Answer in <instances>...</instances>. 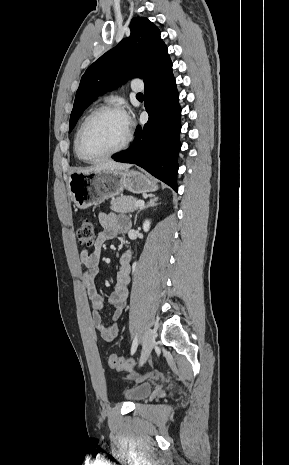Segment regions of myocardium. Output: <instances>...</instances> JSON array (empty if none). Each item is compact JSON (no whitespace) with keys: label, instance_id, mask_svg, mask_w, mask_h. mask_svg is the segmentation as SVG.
I'll list each match as a JSON object with an SVG mask.
<instances>
[{"label":"myocardium","instance_id":"1","mask_svg":"<svg viewBox=\"0 0 289 465\" xmlns=\"http://www.w3.org/2000/svg\"><path fill=\"white\" fill-rule=\"evenodd\" d=\"M101 113H118V114H122V111H121L120 108H118L116 106H113V105H103V106H100V107L94 109L83 120V122L81 123L80 129H79V132H78V136H77V153H78L80 159L85 161V162L93 163V162L100 161V160H102L104 158L113 156V155L123 151L124 149H126L129 146V144H130V142L132 140V132H131L130 126H128L127 127L126 138H125V140L123 141V143L120 146H118L117 148H115L113 150L105 152V153H103L101 155H98V156L91 157V156L86 155V153L84 152V148H83V142H84L86 129H87L89 123L91 122V120L94 117H96L97 115L101 114Z\"/></svg>","mask_w":289,"mask_h":465}]
</instances>
